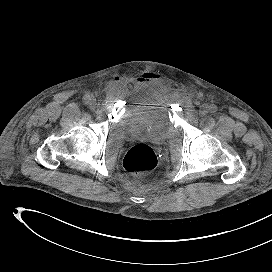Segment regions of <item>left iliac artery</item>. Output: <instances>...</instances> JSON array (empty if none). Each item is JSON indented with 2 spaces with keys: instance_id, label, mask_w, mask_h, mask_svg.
<instances>
[{
  "instance_id": "left-iliac-artery-1",
  "label": "left iliac artery",
  "mask_w": 272,
  "mask_h": 272,
  "mask_svg": "<svg viewBox=\"0 0 272 272\" xmlns=\"http://www.w3.org/2000/svg\"><path fill=\"white\" fill-rule=\"evenodd\" d=\"M216 111H217V106L216 105H211L210 106V112L211 113H216Z\"/></svg>"
}]
</instances>
